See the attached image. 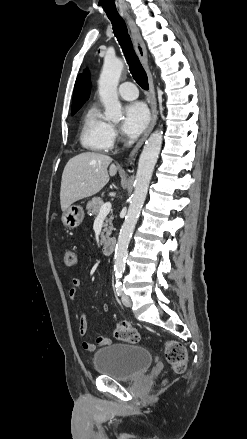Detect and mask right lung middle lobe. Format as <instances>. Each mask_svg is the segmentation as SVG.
<instances>
[{
  "mask_svg": "<svg viewBox=\"0 0 247 439\" xmlns=\"http://www.w3.org/2000/svg\"><path fill=\"white\" fill-rule=\"evenodd\" d=\"M79 109L72 110L71 115H74Z\"/></svg>",
  "mask_w": 247,
  "mask_h": 439,
  "instance_id": "dd1d6c3e",
  "label": "right lung middle lobe"
}]
</instances>
